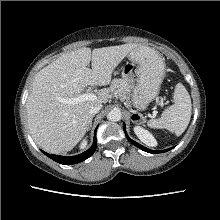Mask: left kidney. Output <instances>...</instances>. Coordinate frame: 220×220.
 <instances>
[{"mask_svg":"<svg viewBox=\"0 0 220 220\" xmlns=\"http://www.w3.org/2000/svg\"><path fill=\"white\" fill-rule=\"evenodd\" d=\"M134 133L144 144L151 146V147H155L157 145V141L153 137V135L147 130H145L144 128L140 126H135Z\"/></svg>","mask_w":220,"mask_h":220,"instance_id":"5707ae66","label":"left kidney"}]
</instances>
